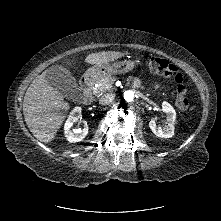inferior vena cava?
<instances>
[{"label": "inferior vena cava", "instance_id": "602c4592", "mask_svg": "<svg viewBox=\"0 0 221 221\" xmlns=\"http://www.w3.org/2000/svg\"><path fill=\"white\" fill-rule=\"evenodd\" d=\"M114 97H115V95L112 93L105 94L99 99V103L101 105L110 104L114 100Z\"/></svg>", "mask_w": 221, "mask_h": 221}]
</instances>
